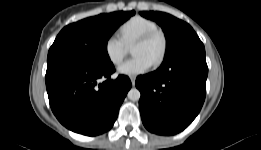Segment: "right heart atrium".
<instances>
[{
  "label": "right heart atrium",
  "instance_id": "obj_1",
  "mask_svg": "<svg viewBox=\"0 0 261 150\" xmlns=\"http://www.w3.org/2000/svg\"><path fill=\"white\" fill-rule=\"evenodd\" d=\"M104 50L109 61L114 65H118L124 59L128 51V46L121 39V37L112 34L106 39L104 43Z\"/></svg>",
  "mask_w": 261,
  "mask_h": 150
}]
</instances>
